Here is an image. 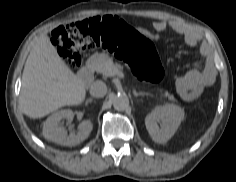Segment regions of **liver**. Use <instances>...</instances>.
I'll list each match as a JSON object with an SVG mask.
<instances>
[{"label":"liver","instance_id":"1","mask_svg":"<svg viewBox=\"0 0 236 182\" xmlns=\"http://www.w3.org/2000/svg\"><path fill=\"white\" fill-rule=\"evenodd\" d=\"M84 80L73 73L46 35L31 50L22 74L20 107L30 118H42L63 106L80 105Z\"/></svg>","mask_w":236,"mask_h":182}]
</instances>
